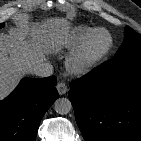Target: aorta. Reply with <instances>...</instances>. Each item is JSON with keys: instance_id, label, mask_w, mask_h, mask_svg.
Segmentation results:
<instances>
[{"instance_id": "762f6f07", "label": "aorta", "mask_w": 141, "mask_h": 141, "mask_svg": "<svg viewBox=\"0 0 141 141\" xmlns=\"http://www.w3.org/2000/svg\"><path fill=\"white\" fill-rule=\"evenodd\" d=\"M54 109L60 115L68 114L72 109V104L68 98H58L54 102Z\"/></svg>"}]
</instances>
